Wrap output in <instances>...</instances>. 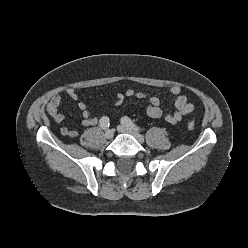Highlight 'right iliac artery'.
<instances>
[{"mask_svg":"<svg viewBox=\"0 0 248 248\" xmlns=\"http://www.w3.org/2000/svg\"><path fill=\"white\" fill-rule=\"evenodd\" d=\"M100 127L102 129H107L109 127V118L107 116H103L101 119H100Z\"/></svg>","mask_w":248,"mask_h":248,"instance_id":"obj_1","label":"right iliac artery"}]
</instances>
